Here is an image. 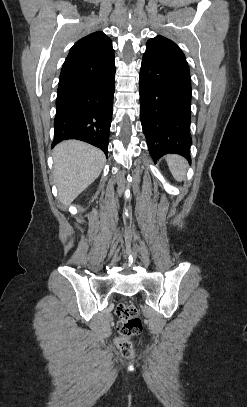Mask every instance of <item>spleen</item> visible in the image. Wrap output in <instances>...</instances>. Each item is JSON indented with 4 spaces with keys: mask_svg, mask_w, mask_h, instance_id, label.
Returning a JSON list of instances; mask_svg holds the SVG:
<instances>
[{
    "mask_svg": "<svg viewBox=\"0 0 247 407\" xmlns=\"http://www.w3.org/2000/svg\"><path fill=\"white\" fill-rule=\"evenodd\" d=\"M166 161L173 177L179 182L183 181L188 167L187 161L179 155H168Z\"/></svg>",
    "mask_w": 247,
    "mask_h": 407,
    "instance_id": "1",
    "label": "spleen"
}]
</instances>
